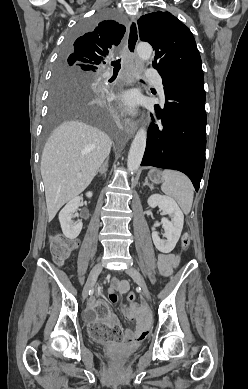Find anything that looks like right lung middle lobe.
I'll list each match as a JSON object with an SVG mask.
<instances>
[{"mask_svg":"<svg viewBox=\"0 0 248 389\" xmlns=\"http://www.w3.org/2000/svg\"><path fill=\"white\" fill-rule=\"evenodd\" d=\"M105 13L101 12L98 15L83 20L79 23L75 31L72 33L69 42L65 46V54L59 60L56 73L55 81L57 85H62L67 82L69 83H78L91 81L94 77V72L86 67L82 68H69L64 66L63 58L68 52V48L71 44V41L77 36L84 33L87 30H92L98 21L105 18ZM72 119H83L92 123H95L99 126L108 128V117L105 111L95 103H70L66 100H60L56 95V89L52 95L47 129L44 134L45 137L49 135L51 130L58 125L59 123L72 120Z\"/></svg>","mask_w":248,"mask_h":389,"instance_id":"dd1d6c3e","label":"right lung middle lobe"}]
</instances>
